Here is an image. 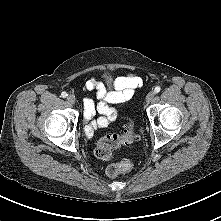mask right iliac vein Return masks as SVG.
Listing matches in <instances>:
<instances>
[{
  "instance_id": "63e3f726",
  "label": "right iliac vein",
  "mask_w": 221,
  "mask_h": 221,
  "mask_svg": "<svg viewBox=\"0 0 221 221\" xmlns=\"http://www.w3.org/2000/svg\"><path fill=\"white\" fill-rule=\"evenodd\" d=\"M67 101H68L69 103H71V104H75V102H76L75 96H73V95H68V96H67Z\"/></svg>"
}]
</instances>
